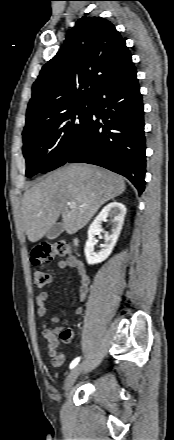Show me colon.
Masks as SVG:
<instances>
[{"mask_svg": "<svg viewBox=\"0 0 174 440\" xmlns=\"http://www.w3.org/2000/svg\"><path fill=\"white\" fill-rule=\"evenodd\" d=\"M71 254V248L66 242H51L37 246L31 252V260L35 265H40L52 261L56 257H67ZM51 274L40 269L33 271V282L36 288H44L51 281ZM70 329H64L61 337H69Z\"/></svg>", "mask_w": 174, "mask_h": 440, "instance_id": "obj_1", "label": "colon"}]
</instances>
